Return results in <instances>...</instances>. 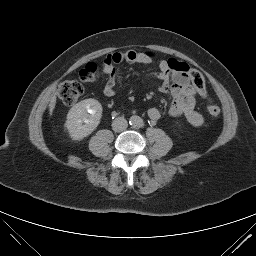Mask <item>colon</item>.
I'll return each instance as SVG.
<instances>
[{"label":"colon","mask_w":256,"mask_h":256,"mask_svg":"<svg viewBox=\"0 0 256 256\" xmlns=\"http://www.w3.org/2000/svg\"><path fill=\"white\" fill-rule=\"evenodd\" d=\"M117 63V59L112 55H108L104 59V66H114ZM188 74L191 80V84L196 91L205 99L210 101V98L206 91V84L203 75L195 70L188 69ZM100 75V69L98 64L94 62L87 63L79 73L80 80L83 82H91L96 80ZM57 94L60 100L66 105H73L83 94V86L77 80H66L59 84L57 88ZM207 112L212 117H218L220 115V109L214 104L207 106Z\"/></svg>","instance_id":"1"}]
</instances>
